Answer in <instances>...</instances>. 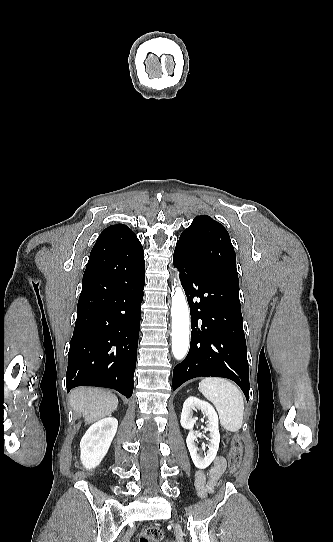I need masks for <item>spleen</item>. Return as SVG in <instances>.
<instances>
[{"label": "spleen", "mask_w": 333, "mask_h": 542, "mask_svg": "<svg viewBox=\"0 0 333 542\" xmlns=\"http://www.w3.org/2000/svg\"><path fill=\"white\" fill-rule=\"evenodd\" d=\"M199 390L214 404L222 428L227 432H239L244 416V400L239 388L223 378H204Z\"/></svg>", "instance_id": "3e777b00"}]
</instances>
